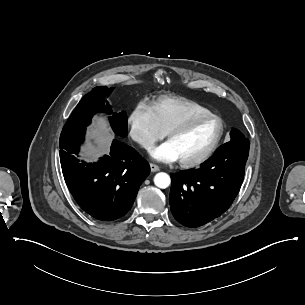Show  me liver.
I'll return each instance as SVG.
<instances>
[{
    "label": "liver",
    "instance_id": "1",
    "mask_svg": "<svg viewBox=\"0 0 305 305\" xmlns=\"http://www.w3.org/2000/svg\"><path fill=\"white\" fill-rule=\"evenodd\" d=\"M106 127L107 125L101 117L96 118L95 126L90 129L89 133L90 148L84 150V153L89 157L95 158V152H105L108 149L112 139V134L109 133V130L106 129ZM93 138L96 139L98 145L92 142Z\"/></svg>",
    "mask_w": 305,
    "mask_h": 305
}]
</instances>
